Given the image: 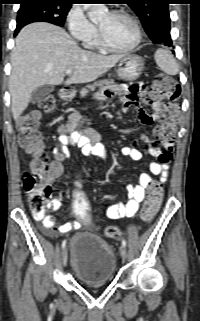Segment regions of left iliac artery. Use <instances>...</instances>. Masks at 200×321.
Listing matches in <instances>:
<instances>
[{"label":"left iliac artery","instance_id":"44dca946","mask_svg":"<svg viewBox=\"0 0 200 321\" xmlns=\"http://www.w3.org/2000/svg\"><path fill=\"white\" fill-rule=\"evenodd\" d=\"M122 245L126 246V240L125 239L122 240Z\"/></svg>","mask_w":200,"mask_h":321}]
</instances>
